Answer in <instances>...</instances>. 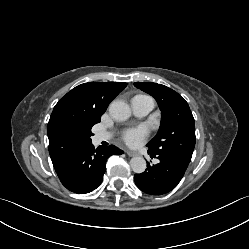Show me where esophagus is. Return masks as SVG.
<instances>
[{
    "instance_id": "34e87169",
    "label": "esophagus",
    "mask_w": 249,
    "mask_h": 249,
    "mask_svg": "<svg viewBox=\"0 0 249 249\" xmlns=\"http://www.w3.org/2000/svg\"><path fill=\"white\" fill-rule=\"evenodd\" d=\"M125 153H126L128 156H130V157H133V156L138 155L137 152L131 151V150H126Z\"/></svg>"
}]
</instances>
